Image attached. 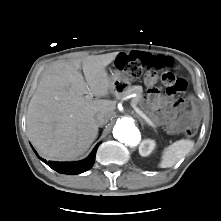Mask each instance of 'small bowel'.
I'll return each mask as SVG.
<instances>
[{"mask_svg":"<svg viewBox=\"0 0 221 221\" xmlns=\"http://www.w3.org/2000/svg\"><path fill=\"white\" fill-rule=\"evenodd\" d=\"M141 53L154 56L151 53L137 51L123 54H130L132 58H135ZM155 82V75L146 78V84L151 88L149 100L152 108L157 112L158 118L167 126L170 133H176L183 123L193 121L197 118V111L193 109L180 114V106L173 103L170 96L159 94L154 90L153 85Z\"/></svg>","mask_w":221,"mask_h":221,"instance_id":"obj_1","label":"small bowel"}]
</instances>
